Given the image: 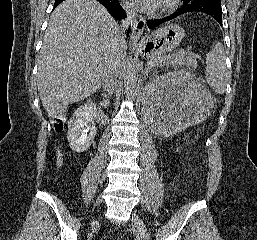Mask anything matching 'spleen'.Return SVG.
<instances>
[{
	"mask_svg": "<svg viewBox=\"0 0 257 240\" xmlns=\"http://www.w3.org/2000/svg\"><path fill=\"white\" fill-rule=\"evenodd\" d=\"M206 64L205 78L207 83L217 94H223L228 82V72L225 63L224 48L221 43H217L206 54Z\"/></svg>",
	"mask_w": 257,
	"mask_h": 240,
	"instance_id": "obj_1",
	"label": "spleen"
}]
</instances>
